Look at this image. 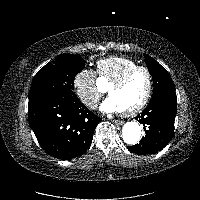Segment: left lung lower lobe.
Returning <instances> with one entry per match:
<instances>
[{"label": "left lung lower lobe", "mask_w": 200, "mask_h": 200, "mask_svg": "<svg viewBox=\"0 0 200 200\" xmlns=\"http://www.w3.org/2000/svg\"><path fill=\"white\" fill-rule=\"evenodd\" d=\"M176 100L175 92H160L152 96L145 110L136 117L144 125L146 135L139 144L127 147L132 153L153 154L170 142L174 135Z\"/></svg>", "instance_id": "0a47b994"}]
</instances>
